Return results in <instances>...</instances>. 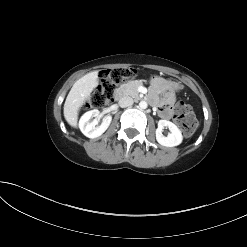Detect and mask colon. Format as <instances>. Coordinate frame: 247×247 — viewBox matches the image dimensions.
I'll list each match as a JSON object with an SVG mask.
<instances>
[{
	"instance_id": "5ec220e1",
	"label": "colon",
	"mask_w": 247,
	"mask_h": 247,
	"mask_svg": "<svg viewBox=\"0 0 247 247\" xmlns=\"http://www.w3.org/2000/svg\"><path fill=\"white\" fill-rule=\"evenodd\" d=\"M135 76L136 70L131 67L104 70L101 73V84L91 94L89 105L98 109L105 107L114 101L117 86ZM174 119L185 136H191L198 125L191 107L184 102L176 105Z\"/></svg>"
}]
</instances>
